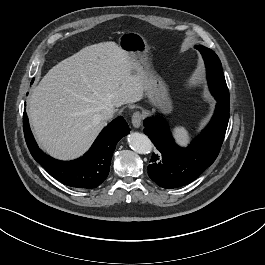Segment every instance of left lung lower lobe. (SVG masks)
<instances>
[{
  "label": "left lung lower lobe",
  "instance_id": "left-lung-lower-lobe-1",
  "mask_svg": "<svg viewBox=\"0 0 265 265\" xmlns=\"http://www.w3.org/2000/svg\"><path fill=\"white\" fill-rule=\"evenodd\" d=\"M216 100L218 103L210 123L187 148L175 144L161 118L144 121L145 134L160 151L152 154V164L148 166V175L157 185L176 188L189 184L215 161L224 140L230 111L229 103L220 97Z\"/></svg>",
  "mask_w": 265,
  "mask_h": 265
}]
</instances>
